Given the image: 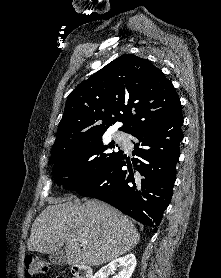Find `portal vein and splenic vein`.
Masks as SVG:
<instances>
[{"instance_id":"portal-vein-and-splenic-vein-1","label":"portal vein and splenic vein","mask_w":221,"mask_h":278,"mask_svg":"<svg viewBox=\"0 0 221 278\" xmlns=\"http://www.w3.org/2000/svg\"><path fill=\"white\" fill-rule=\"evenodd\" d=\"M81 241V243H86V240H80Z\"/></svg>"}]
</instances>
